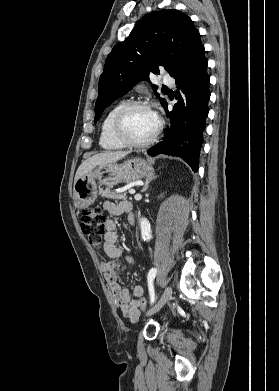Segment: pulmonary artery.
Wrapping results in <instances>:
<instances>
[{
    "mask_svg": "<svg viewBox=\"0 0 279 391\" xmlns=\"http://www.w3.org/2000/svg\"><path fill=\"white\" fill-rule=\"evenodd\" d=\"M163 82L167 85H173L174 84V79L168 75L163 77Z\"/></svg>",
    "mask_w": 279,
    "mask_h": 391,
    "instance_id": "pulmonary-artery-1",
    "label": "pulmonary artery"
}]
</instances>
